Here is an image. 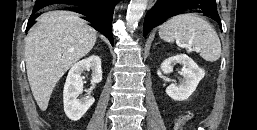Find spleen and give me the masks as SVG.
I'll use <instances>...</instances> for the list:
<instances>
[{
    "instance_id": "1",
    "label": "spleen",
    "mask_w": 257,
    "mask_h": 130,
    "mask_svg": "<svg viewBox=\"0 0 257 130\" xmlns=\"http://www.w3.org/2000/svg\"><path fill=\"white\" fill-rule=\"evenodd\" d=\"M159 36L169 43L176 41L180 45L192 46L208 62H215L221 56V43L216 31L195 13L170 18L160 26Z\"/></svg>"
}]
</instances>
